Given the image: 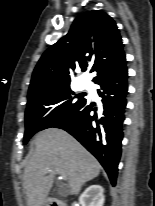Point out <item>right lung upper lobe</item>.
<instances>
[{
    "label": "right lung upper lobe",
    "instance_id": "obj_1",
    "mask_svg": "<svg viewBox=\"0 0 155 206\" xmlns=\"http://www.w3.org/2000/svg\"><path fill=\"white\" fill-rule=\"evenodd\" d=\"M125 54L116 23L106 13L89 11L77 17L69 33L50 46L36 65L28 96L70 84V71L93 64V81L117 71Z\"/></svg>",
    "mask_w": 155,
    "mask_h": 206
}]
</instances>
